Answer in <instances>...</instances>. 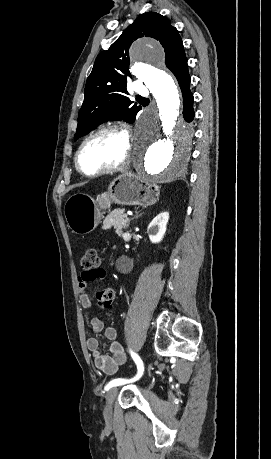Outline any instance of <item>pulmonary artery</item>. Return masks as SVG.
<instances>
[{
    "instance_id": "e3ab8cb5",
    "label": "pulmonary artery",
    "mask_w": 271,
    "mask_h": 459,
    "mask_svg": "<svg viewBox=\"0 0 271 459\" xmlns=\"http://www.w3.org/2000/svg\"><path fill=\"white\" fill-rule=\"evenodd\" d=\"M136 91L140 94L142 98H147L149 96V91L143 87L141 82L136 84Z\"/></svg>"
}]
</instances>
